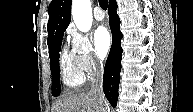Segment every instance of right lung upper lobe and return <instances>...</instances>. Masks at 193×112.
I'll list each match as a JSON object with an SVG mask.
<instances>
[{
	"instance_id": "right-lung-upper-lobe-1",
	"label": "right lung upper lobe",
	"mask_w": 193,
	"mask_h": 112,
	"mask_svg": "<svg viewBox=\"0 0 193 112\" xmlns=\"http://www.w3.org/2000/svg\"><path fill=\"white\" fill-rule=\"evenodd\" d=\"M110 2L113 0H109ZM71 21V0H52L49 6L48 46L68 27Z\"/></svg>"
}]
</instances>
